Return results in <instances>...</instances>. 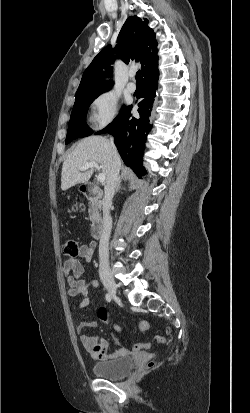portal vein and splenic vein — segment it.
Returning <instances> with one entry per match:
<instances>
[{
    "label": "portal vein and splenic vein",
    "mask_w": 250,
    "mask_h": 413,
    "mask_svg": "<svg viewBox=\"0 0 250 413\" xmlns=\"http://www.w3.org/2000/svg\"><path fill=\"white\" fill-rule=\"evenodd\" d=\"M89 168H95L98 171L100 170L99 165L95 162H89V163L84 164L80 168V170L85 171V170H88ZM97 181L100 182V183H103L105 181V175L103 173H99L98 176H97Z\"/></svg>",
    "instance_id": "1"
}]
</instances>
